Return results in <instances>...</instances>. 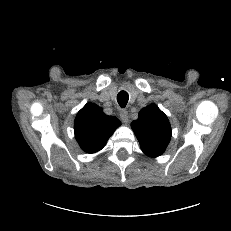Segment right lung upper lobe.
<instances>
[{
	"label": "right lung upper lobe",
	"mask_w": 231,
	"mask_h": 231,
	"mask_svg": "<svg viewBox=\"0 0 231 231\" xmlns=\"http://www.w3.org/2000/svg\"><path fill=\"white\" fill-rule=\"evenodd\" d=\"M120 125L115 116H108L98 105L87 103L75 118V138L85 152L95 153L105 146Z\"/></svg>",
	"instance_id": "1"
}]
</instances>
